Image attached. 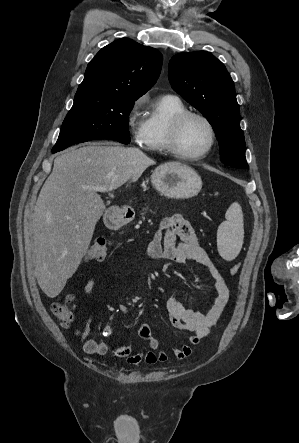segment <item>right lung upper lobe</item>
I'll list each match as a JSON object with an SVG mask.
<instances>
[{
	"label": "right lung upper lobe",
	"instance_id": "obj_1",
	"mask_svg": "<svg viewBox=\"0 0 299 443\" xmlns=\"http://www.w3.org/2000/svg\"><path fill=\"white\" fill-rule=\"evenodd\" d=\"M162 54L121 38L102 48L89 62L77 93L100 92L137 100L157 81Z\"/></svg>",
	"mask_w": 299,
	"mask_h": 443
}]
</instances>
